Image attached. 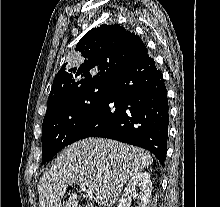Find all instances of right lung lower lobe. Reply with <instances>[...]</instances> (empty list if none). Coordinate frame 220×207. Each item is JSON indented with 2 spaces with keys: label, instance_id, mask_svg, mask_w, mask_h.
Here are the masks:
<instances>
[{
  "label": "right lung lower lobe",
  "instance_id": "obj_1",
  "mask_svg": "<svg viewBox=\"0 0 220 207\" xmlns=\"http://www.w3.org/2000/svg\"><path fill=\"white\" fill-rule=\"evenodd\" d=\"M168 109L162 73L145 54L108 82L100 105L75 130L69 144L86 137L110 138L145 148L163 164Z\"/></svg>",
  "mask_w": 220,
  "mask_h": 207
}]
</instances>
